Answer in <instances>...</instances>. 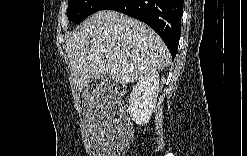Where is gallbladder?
I'll return each instance as SVG.
<instances>
[{
	"instance_id": "1",
	"label": "gallbladder",
	"mask_w": 247,
	"mask_h": 156,
	"mask_svg": "<svg viewBox=\"0 0 247 156\" xmlns=\"http://www.w3.org/2000/svg\"><path fill=\"white\" fill-rule=\"evenodd\" d=\"M113 82V79L111 77H109V75H106L104 78H103V84L104 85H108V84H111Z\"/></svg>"
}]
</instances>
